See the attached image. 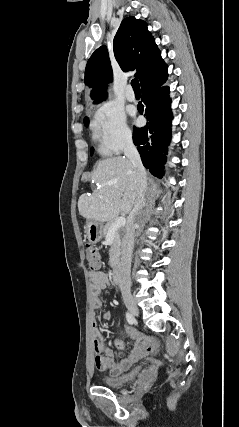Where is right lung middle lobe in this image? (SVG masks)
Instances as JSON below:
<instances>
[{"instance_id": "1", "label": "right lung middle lobe", "mask_w": 239, "mask_h": 427, "mask_svg": "<svg viewBox=\"0 0 239 427\" xmlns=\"http://www.w3.org/2000/svg\"><path fill=\"white\" fill-rule=\"evenodd\" d=\"M84 123L86 126L88 125V118L87 117L84 119ZM92 154H93V148L91 149V155Z\"/></svg>"}]
</instances>
